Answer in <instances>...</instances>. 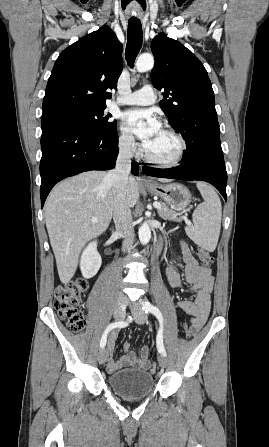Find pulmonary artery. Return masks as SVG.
<instances>
[{
	"label": "pulmonary artery",
	"mask_w": 269,
	"mask_h": 447,
	"mask_svg": "<svg viewBox=\"0 0 269 447\" xmlns=\"http://www.w3.org/2000/svg\"><path fill=\"white\" fill-rule=\"evenodd\" d=\"M157 100V91L150 85L143 86L141 89L134 91L126 96L119 97V104L127 105H152Z\"/></svg>",
	"instance_id": "e3ab8cb5"
}]
</instances>
